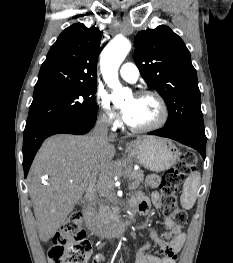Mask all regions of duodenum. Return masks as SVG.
I'll return each mask as SVG.
<instances>
[{
    "label": "duodenum",
    "instance_id": "410a0bca",
    "mask_svg": "<svg viewBox=\"0 0 233 263\" xmlns=\"http://www.w3.org/2000/svg\"><path fill=\"white\" fill-rule=\"evenodd\" d=\"M135 211V203H131L130 215L108 225H102L97 221L90 206L83 209V216L88 229L95 236L100 239H114L122 236L128 230Z\"/></svg>",
    "mask_w": 233,
    "mask_h": 263
}]
</instances>
